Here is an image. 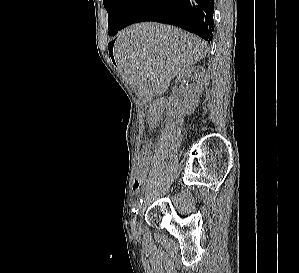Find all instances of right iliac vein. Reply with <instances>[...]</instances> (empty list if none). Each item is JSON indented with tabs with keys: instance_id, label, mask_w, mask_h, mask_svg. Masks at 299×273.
<instances>
[{
	"instance_id": "obj_1",
	"label": "right iliac vein",
	"mask_w": 299,
	"mask_h": 273,
	"mask_svg": "<svg viewBox=\"0 0 299 273\" xmlns=\"http://www.w3.org/2000/svg\"><path fill=\"white\" fill-rule=\"evenodd\" d=\"M136 227H137V215H135L132 220L133 231H136Z\"/></svg>"
}]
</instances>
